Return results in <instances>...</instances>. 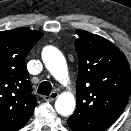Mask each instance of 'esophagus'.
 Listing matches in <instances>:
<instances>
[{
	"mask_svg": "<svg viewBox=\"0 0 131 131\" xmlns=\"http://www.w3.org/2000/svg\"><path fill=\"white\" fill-rule=\"evenodd\" d=\"M57 97H58V93L54 91L49 96H44L43 100L46 102H51L54 101Z\"/></svg>",
	"mask_w": 131,
	"mask_h": 131,
	"instance_id": "esophagus-1",
	"label": "esophagus"
}]
</instances>
